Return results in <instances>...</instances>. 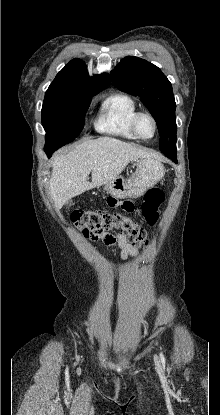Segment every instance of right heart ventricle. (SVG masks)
Wrapping results in <instances>:
<instances>
[{"label": "right heart ventricle", "mask_w": 220, "mask_h": 415, "mask_svg": "<svg viewBox=\"0 0 220 415\" xmlns=\"http://www.w3.org/2000/svg\"><path fill=\"white\" fill-rule=\"evenodd\" d=\"M137 112L136 103L130 96L111 95L103 102L96 128L103 133L135 140L137 138L131 129V122Z\"/></svg>", "instance_id": "right-heart-ventricle-1"}]
</instances>
